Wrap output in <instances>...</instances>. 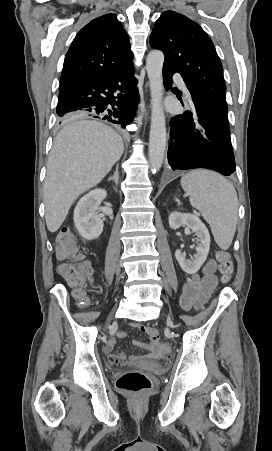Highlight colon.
<instances>
[{"label":"colon","mask_w":272,"mask_h":451,"mask_svg":"<svg viewBox=\"0 0 272 451\" xmlns=\"http://www.w3.org/2000/svg\"><path fill=\"white\" fill-rule=\"evenodd\" d=\"M79 247L78 240H74L73 235H70L68 229H62L57 240L58 254L63 260H70L72 254H76ZM77 258H82V253L76 254ZM218 259V270L224 279L231 277L234 266L226 251H219L216 254ZM90 264L88 262H78L75 264L74 260L70 262H60L58 275L60 278H66L67 283H71L75 289L74 301L75 303H90L91 296L88 294L87 288H82L85 284V278L90 276ZM152 347V346H151ZM157 354H163L165 359L172 357V352L168 345H157L155 347ZM110 362L115 367H124L125 358L122 354H112L109 358ZM117 388L121 391H126L138 394L149 390L151 388V380L149 376L142 371H127L123 373L116 382Z\"/></svg>","instance_id":"colon-1"}]
</instances>
